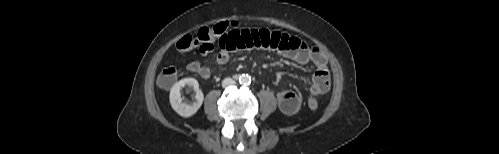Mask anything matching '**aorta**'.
I'll return each mask as SVG.
<instances>
[{
	"instance_id": "obj_1",
	"label": "aorta",
	"mask_w": 499,
	"mask_h": 154,
	"mask_svg": "<svg viewBox=\"0 0 499 154\" xmlns=\"http://www.w3.org/2000/svg\"><path fill=\"white\" fill-rule=\"evenodd\" d=\"M239 83L242 85H249L251 83V77L248 74H242L239 77Z\"/></svg>"
}]
</instances>
